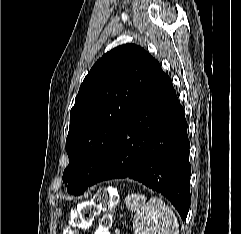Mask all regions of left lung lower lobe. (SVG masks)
Wrapping results in <instances>:
<instances>
[{"label": "left lung lower lobe", "mask_w": 241, "mask_h": 234, "mask_svg": "<svg viewBox=\"0 0 241 234\" xmlns=\"http://www.w3.org/2000/svg\"><path fill=\"white\" fill-rule=\"evenodd\" d=\"M190 143L184 109L161 67L133 105L89 186L131 178L160 192L183 222L190 206Z\"/></svg>", "instance_id": "obj_1"}]
</instances>
